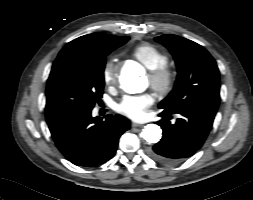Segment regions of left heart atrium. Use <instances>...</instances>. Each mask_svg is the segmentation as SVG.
<instances>
[{"instance_id":"39dd6f15","label":"left heart atrium","mask_w":253,"mask_h":200,"mask_svg":"<svg viewBox=\"0 0 253 200\" xmlns=\"http://www.w3.org/2000/svg\"><path fill=\"white\" fill-rule=\"evenodd\" d=\"M153 102L154 98L149 93L127 95L117 104V110L131 119L140 120Z\"/></svg>"}]
</instances>
